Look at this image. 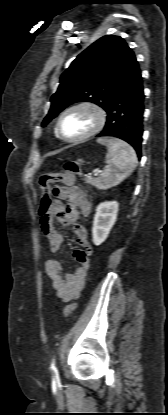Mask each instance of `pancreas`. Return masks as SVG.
<instances>
[{"label":"pancreas","mask_w":168,"mask_h":415,"mask_svg":"<svg viewBox=\"0 0 168 415\" xmlns=\"http://www.w3.org/2000/svg\"><path fill=\"white\" fill-rule=\"evenodd\" d=\"M85 182L88 183V184H90V185H93V186H95L97 184L96 179L90 178V177H86L85 178Z\"/></svg>","instance_id":"cf45deb5"}]
</instances>
